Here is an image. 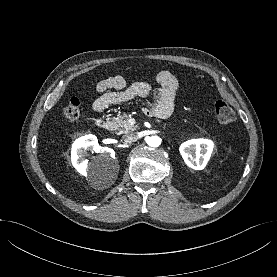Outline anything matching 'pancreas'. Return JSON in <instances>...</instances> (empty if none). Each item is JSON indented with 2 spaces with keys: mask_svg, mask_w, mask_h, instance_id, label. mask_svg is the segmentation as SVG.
Segmentation results:
<instances>
[{
  "mask_svg": "<svg viewBox=\"0 0 277 277\" xmlns=\"http://www.w3.org/2000/svg\"><path fill=\"white\" fill-rule=\"evenodd\" d=\"M113 129L117 131L118 134H125L136 130L135 126L130 125L129 116L126 113L118 115L112 119Z\"/></svg>",
  "mask_w": 277,
  "mask_h": 277,
  "instance_id": "cf45deb5",
  "label": "pancreas"
}]
</instances>
